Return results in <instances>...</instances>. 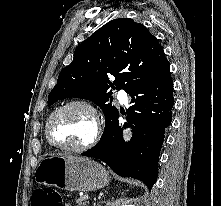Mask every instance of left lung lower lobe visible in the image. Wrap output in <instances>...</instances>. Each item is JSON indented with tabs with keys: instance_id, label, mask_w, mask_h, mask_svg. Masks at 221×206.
<instances>
[{
	"instance_id": "0a47b994",
	"label": "left lung lower lobe",
	"mask_w": 221,
	"mask_h": 206,
	"mask_svg": "<svg viewBox=\"0 0 221 206\" xmlns=\"http://www.w3.org/2000/svg\"><path fill=\"white\" fill-rule=\"evenodd\" d=\"M129 94L132 106L127 110L129 124L125 126H131L132 140L129 143L123 141V128L119 126L117 113L109 132L82 155L102 160L118 175L141 180L151 190L157 179L165 128L172 120L174 100L170 68Z\"/></svg>"
}]
</instances>
